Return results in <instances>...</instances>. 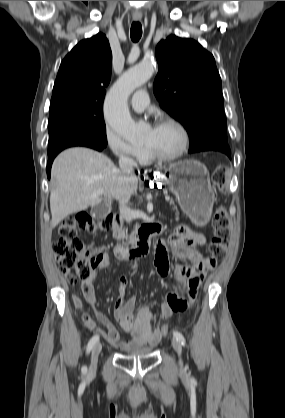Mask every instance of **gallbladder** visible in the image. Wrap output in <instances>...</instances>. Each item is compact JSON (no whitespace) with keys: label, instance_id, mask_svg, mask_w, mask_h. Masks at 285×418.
<instances>
[{"label":"gallbladder","instance_id":"1","mask_svg":"<svg viewBox=\"0 0 285 418\" xmlns=\"http://www.w3.org/2000/svg\"><path fill=\"white\" fill-rule=\"evenodd\" d=\"M108 212H109V208L108 206L104 204L97 205L94 208V213H95L96 218L104 217Z\"/></svg>","mask_w":285,"mask_h":418}]
</instances>
